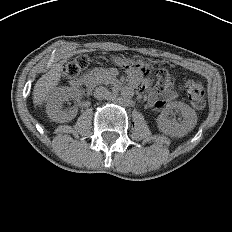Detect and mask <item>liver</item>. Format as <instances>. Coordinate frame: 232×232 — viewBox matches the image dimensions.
Listing matches in <instances>:
<instances>
[{
    "label": "liver",
    "mask_w": 232,
    "mask_h": 232,
    "mask_svg": "<svg viewBox=\"0 0 232 232\" xmlns=\"http://www.w3.org/2000/svg\"><path fill=\"white\" fill-rule=\"evenodd\" d=\"M63 63L64 61L55 64L36 82L33 89V103L35 106H40L46 101L50 92H52L58 85L63 71Z\"/></svg>",
    "instance_id": "1"
}]
</instances>
